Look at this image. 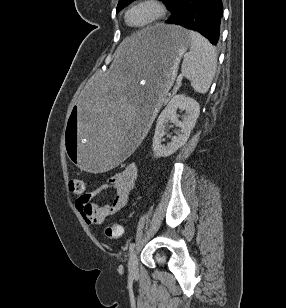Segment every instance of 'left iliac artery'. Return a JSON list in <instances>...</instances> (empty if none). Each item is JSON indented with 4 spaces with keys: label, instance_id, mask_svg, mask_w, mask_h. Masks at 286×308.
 <instances>
[{
    "label": "left iliac artery",
    "instance_id": "obj_1",
    "mask_svg": "<svg viewBox=\"0 0 286 308\" xmlns=\"http://www.w3.org/2000/svg\"><path fill=\"white\" fill-rule=\"evenodd\" d=\"M135 248V243H131L130 244V247H129V251H133V249Z\"/></svg>",
    "mask_w": 286,
    "mask_h": 308
}]
</instances>
